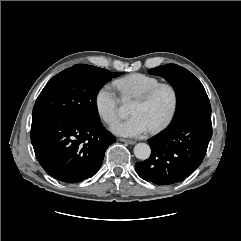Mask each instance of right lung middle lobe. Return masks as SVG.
Wrapping results in <instances>:
<instances>
[{"label":"right lung middle lobe","instance_id":"obj_1","mask_svg":"<svg viewBox=\"0 0 241 241\" xmlns=\"http://www.w3.org/2000/svg\"><path fill=\"white\" fill-rule=\"evenodd\" d=\"M118 75L86 64L65 69L54 76L41 91L33 108L32 121L65 117L90 124L100 123L96 96L103 85Z\"/></svg>","mask_w":241,"mask_h":241}]
</instances>
